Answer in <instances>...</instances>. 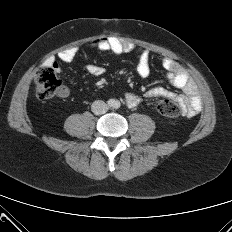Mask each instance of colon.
<instances>
[{"instance_id": "colon-1", "label": "colon", "mask_w": 232, "mask_h": 232, "mask_svg": "<svg viewBox=\"0 0 232 232\" xmlns=\"http://www.w3.org/2000/svg\"><path fill=\"white\" fill-rule=\"evenodd\" d=\"M61 88V82L53 66L45 65L37 70L35 76V93L39 99L52 98L60 93ZM155 108L160 115L168 118H175L181 114L180 104L168 98L158 100Z\"/></svg>"}]
</instances>
